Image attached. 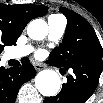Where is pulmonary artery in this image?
Segmentation results:
<instances>
[{"label":"pulmonary artery","mask_w":103,"mask_h":103,"mask_svg":"<svg viewBox=\"0 0 103 103\" xmlns=\"http://www.w3.org/2000/svg\"><path fill=\"white\" fill-rule=\"evenodd\" d=\"M67 21L64 16L62 15H51L48 18V39L50 41H57L59 40L66 29ZM33 51V47L31 45H23L13 48L9 56L10 58H21L24 56L29 55Z\"/></svg>","instance_id":"1"}]
</instances>
